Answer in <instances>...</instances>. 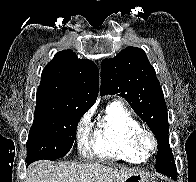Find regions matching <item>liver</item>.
<instances>
[{"label":"liver","mask_w":196,"mask_h":182,"mask_svg":"<svg viewBox=\"0 0 196 182\" xmlns=\"http://www.w3.org/2000/svg\"><path fill=\"white\" fill-rule=\"evenodd\" d=\"M136 171L116 169L100 164L34 163L25 182H125Z\"/></svg>","instance_id":"obj_1"}]
</instances>
